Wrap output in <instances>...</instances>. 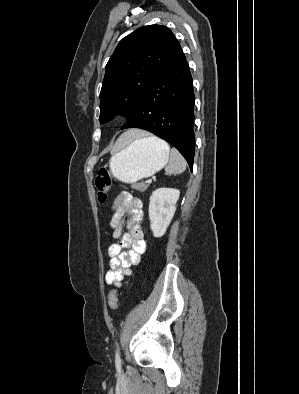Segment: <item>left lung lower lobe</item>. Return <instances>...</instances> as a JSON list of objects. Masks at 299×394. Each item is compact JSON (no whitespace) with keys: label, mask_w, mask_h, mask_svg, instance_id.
Instances as JSON below:
<instances>
[{"label":"left lung lower lobe","mask_w":299,"mask_h":394,"mask_svg":"<svg viewBox=\"0 0 299 394\" xmlns=\"http://www.w3.org/2000/svg\"><path fill=\"white\" fill-rule=\"evenodd\" d=\"M193 81L183 52L150 85L129 121L122 126L147 130L176 147L193 169Z\"/></svg>","instance_id":"0a47b994"}]
</instances>
